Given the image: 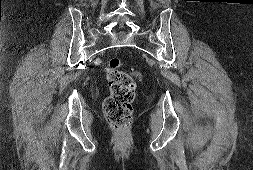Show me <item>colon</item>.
Here are the masks:
<instances>
[{
    "label": "colon",
    "mask_w": 253,
    "mask_h": 170,
    "mask_svg": "<svg viewBox=\"0 0 253 170\" xmlns=\"http://www.w3.org/2000/svg\"><path fill=\"white\" fill-rule=\"evenodd\" d=\"M106 81L110 95L105 99L103 109L109 124L116 130H123L132 120V103L136 83L131 74L122 69L119 58L109 60Z\"/></svg>",
    "instance_id": "5ec220e1"
}]
</instances>
